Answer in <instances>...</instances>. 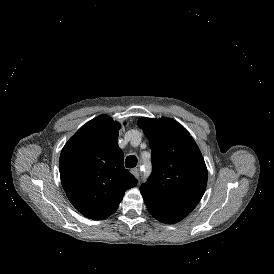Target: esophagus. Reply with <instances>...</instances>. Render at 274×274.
<instances>
[{
	"label": "esophagus",
	"instance_id": "1",
	"mask_svg": "<svg viewBox=\"0 0 274 274\" xmlns=\"http://www.w3.org/2000/svg\"><path fill=\"white\" fill-rule=\"evenodd\" d=\"M131 173L136 177L139 178L140 176V170L138 168L132 169Z\"/></svg>",
	"mask_w": 274,
	"mask_h": 274
}]
</instances>
